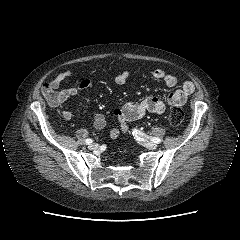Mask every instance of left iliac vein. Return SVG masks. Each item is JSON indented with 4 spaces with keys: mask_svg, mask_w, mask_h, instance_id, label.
Here are the masks:
<instances>
[{
    "mask_svg": "<svg viewBox=\"0 0 240 240\" xmlns=\"http://www.w3.org/2000/svg\"><path fill=\"white\" fill-rule=\"evenodd\" d=\"M137 141L140 143V144H142V145H144L146 148H148V149H156L157 148V144L155 143V142H152V141H148V140H145V139H143V138H140V137H138L137 138Z\"/></svg>",
    "mask_w": 240,
    "mask_h": 240,
    "instance_id": "left-iliac-vein-1",
    "label": "left iliac vein"
}]
</instances>
